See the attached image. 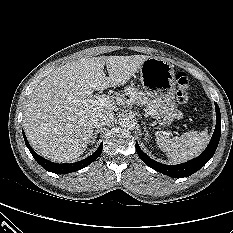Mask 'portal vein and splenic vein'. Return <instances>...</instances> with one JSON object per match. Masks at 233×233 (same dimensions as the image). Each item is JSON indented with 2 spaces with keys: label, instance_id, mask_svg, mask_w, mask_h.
I'll use <instances>...</instances> for the list:
<instances>
[{
  "label": "portal vein and splenic vein",
  "instance_id": "obj_1",
  "mask_svg": "<svg viewBox=\"0 0 233 233\" xmlns=\"http://www.w3.org/2000/svg\"><path fill=\"white\" fill-rule=\"evenodd\" d=\"M82 102L86 105H108L112 102L111 97L108 95H99L96 97L89 96L87 99L82 100Z\"/></svg>",
  "mask_w": 233,
  "mask_h": 233
}]
</instances>
